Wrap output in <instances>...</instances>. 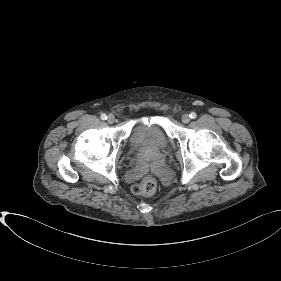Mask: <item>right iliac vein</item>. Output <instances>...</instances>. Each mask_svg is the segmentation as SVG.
<instances>
[{
  "mask_svg": "<svg viewBox=\"0 0 281 281\" xmlns=\"http://www.w3.org/2000/svg\"><path fill=\"white\" fill-rule=\"evenodd\" d=\"M108 123L113 124L115 122V116L110 114L107 118Z\"/></svg>",
  "mask_w": 281,
  "mask_h": 281,
  "instance_id": "right-iliac-vein-1",
  "label": "right iliac vein"
}]
</instances>
